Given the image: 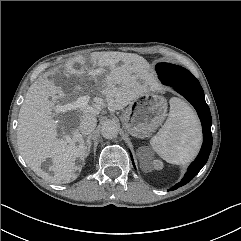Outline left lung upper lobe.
Masks as SVG:
<instances>
[{
  "label": "left lung upper lobe",
  "instance_id": "1",
  "mask_svg": "<svg viewBox=\"0 0 241 241\" xmlns=\"http://www.w3.org/2000/svg\"><path fill=\"white\" fill-rule=\"evenodd\" d=\"M156 71L160 78L172 84L189 83L197 80L187 69L174 64L159 63L156 65Z\"/></svg>",
  "mask_w": 241,
  "mask_h": 241
}]
</instances>
